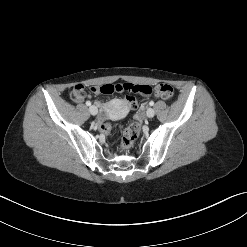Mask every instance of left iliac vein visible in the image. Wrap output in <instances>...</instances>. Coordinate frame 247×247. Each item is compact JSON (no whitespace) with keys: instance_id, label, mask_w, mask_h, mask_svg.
<instances>
[{"instance_id":"4c4485c4","label":"left iliac vein","mask_w":247,"mask_h":247,"mask_svg":"<svg viewBox=\"0 0 247 247\" xmlns=\"http://www.w3.org/2000/svg\"><path fill=\"white\" fill-rule=\"evenodd\" d=\"M146 115L147 117L152 118L155 115L154 109L148 108L146 111Z\"/></svg>"}]
</instances>
